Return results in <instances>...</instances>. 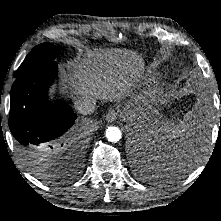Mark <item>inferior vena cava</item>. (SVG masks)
Listing matches in <instances>:
<instances>
[{
  "mask_svg": "<svg viewBox=\"0 0 221 221\" xmlns=\"http://www.w3.org/2000/svg\"><path fill=\"white\" fill-rule=\"evenodd\" d=\"M76 108L83 114H92L96 108V99L91 96H82L76 102Z\"/></svg>",
  "mask_w": 221,
  "mask_h": 221,
  "instance_id": "obj_1",
  "label": "inferior vena cava"
}]
</instances>
